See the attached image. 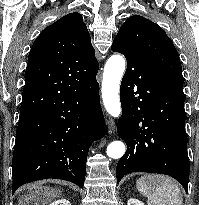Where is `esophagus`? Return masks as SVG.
<instances>
[{
  "instance_id": "1",
  "label": "esophagus",
  "mask_w": 199,
  "mask_h": 205,
  "mask_svg": "<svg viewBox=\"0 0 199 205\" xmlns=\"http://www.w3.org/2000/svg\"><path fill=\"white\" fill-rule=\"evenodd\" d=\"M108 131L109 134H113L115 132V123L112 119L108 121Z\"/></svg>"
}]
</instances>
